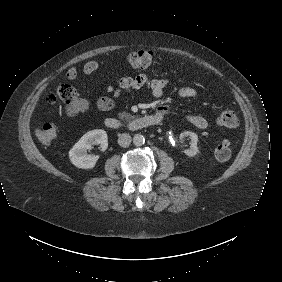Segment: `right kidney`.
<instances>
[{
  "instance_id": "ca27d5eb",
  "label": "right kidney",
  "mask_w": 282,
  "mask_h": 282,
  "mask_svg": "<svg viewBox=\"0 0 282 282\" xmlns=\"http://www.w3.org/2000/svg\"><path fill=\"white\" fill-rule=\"evenodd\" d=\"M100 144L101 151L108 148V137L106 131L95 129L84 134L80 140L70 149L69 157L73 165L82 169L93 168L99 156L87 154L92 145Z\"/></svg>"
}]
</instances>
